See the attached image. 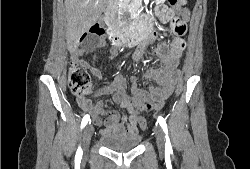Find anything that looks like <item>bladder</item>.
<instances>
[{"label":"bladder","instance_id":"31cf9c89","mask_svg":"<svg viewBox=\"0 0 250 169\" xmlns=\"http://www.w3.org/2000/svg\"><path fill=\"white\" fill-rule=\"evenodd\" d=\"M102 147L110 151H134L143 140L141 134L133 133H105L100 136Z\"/></svg>","mask_w":250,"mask_h":169}]
</instances>
